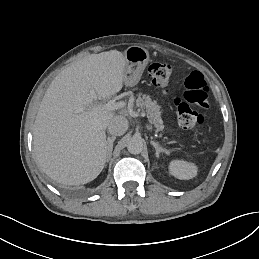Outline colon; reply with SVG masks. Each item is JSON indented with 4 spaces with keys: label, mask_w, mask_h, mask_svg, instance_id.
<instances>
[{
    "label": "colon",
    "mask_w": 259,
    "mask_h": 259,
    "mask_svg": "<svg viewBox=\"0 0 259 259\" xmlns=\"http://www.w3.org/2000/svg\"><path fill=\"white\" fill-rule=\"evenodd\" d=\"M148 71L152 83L166 90L173 72L171 64L154 62L149 66ZM184 85L183 99L175 100L178 124L183 129L197 131L203 124L204 117L193 106L209 107V86L204 75L199 71L191 72L185 79Z\"/></svg>",
    "instance_id": "5ec220e1"
}]
</instances>
